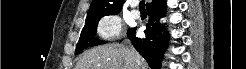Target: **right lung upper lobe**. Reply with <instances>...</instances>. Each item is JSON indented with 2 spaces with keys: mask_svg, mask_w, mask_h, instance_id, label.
<instances>
[{
  "mask_svg": "<svg viewBox=\"0 0 246 69\" xmlns=\"http://www.w3.org/2000/svg\"><path fill=\"white\" fill-rule=\"evenodd\" d=\"M123 2V0H92L86 21L100 19L106 15L118 14L122 9ZM148 5L147 3L146 6Z\"/></svg>",
  "mask_w": 246,
  "mask_h": 69,
  "instance_id": "1",
  "label": "right lung upper lobe"
}]
</instances>
